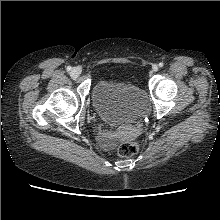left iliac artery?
I'll list each match as a JSON object with an SVG mask.
<instances>
[{"instance_id":"44dca946","label":"left iliac artery","mask_w":220,"mask_h":220,"mask_svg":"<svg viewBox=\"0 0 220 220\" xmlns=\"http://www.w3.org/2000/svg\"><path fill=\"white\" fill-rule=\"evenodd\" d=\"M164 66V63L163 62H160L159 63V67H163Z\"/></svg>"}]
</instances>
